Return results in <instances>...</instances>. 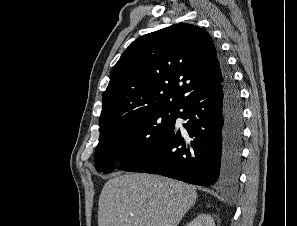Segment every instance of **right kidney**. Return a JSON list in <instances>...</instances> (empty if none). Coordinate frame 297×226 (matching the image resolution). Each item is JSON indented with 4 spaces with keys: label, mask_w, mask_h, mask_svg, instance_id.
<instances>
[{
    "label": "right kidney",
    "mask_w": 297,
    "mask_h": 226,
    "mask_svg": "<svg viewBox=\"0 0 297 226\" xmlns=\"http://www.w3.org/2000/svg\"><path fill=\"white\" fill-rule=\"evenodd\" d=\"M186 226H215L213 217L208 214H200L195 219H193Z\"/></svg>",
    "instance_id": "right-kidney-1"
}]
</instances>
